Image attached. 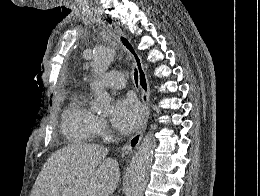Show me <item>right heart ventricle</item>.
<instances>
[{
  "mask_svg": "<svg viewBox=\"0 0 260 196\" xmlns=\"http://www.w3.org/2000/svg\"><path fill=\"white\" fill-rule=\"evenodd\" d=\"M92 86H84L77 88L72 92V100L63 114V128L65 132L71 136L76 130H91L96 128L98 118L92 112L88 105V93ZM77 143H94L92 137H82L76 140ZM50 192H58L50 190Z\"/></svg>",
  "mask_w": 260,
  "mask_h": 196,
  "instance_id": "obj_1",
  "label": "right heart ventricle"
}]
</instances>
